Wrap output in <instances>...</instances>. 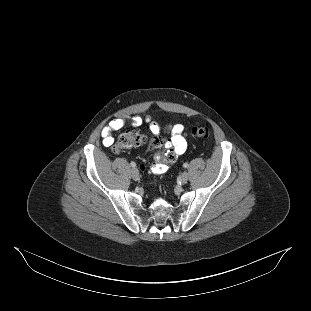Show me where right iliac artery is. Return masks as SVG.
Listing matches in <instances>:
<instances>
[{"label": "right iliac artery", "mask_w": 311, "mask_h": 311, "mask_svg": "<svg viewBox=\"0 0 311 311\" xmlns=\"http://www.w3.org/2000/svg\"><path fill=\"white\" fill-rule=\"evenodd\" d=\"M130 165H131V167H136V163L135 162H131Z\"/></svg>", "instance_id": "82829eb1"}]
</instances>
